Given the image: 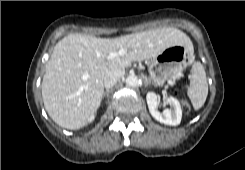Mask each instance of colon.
<instances>
[{"instance_id": "colon-1", "label": "colon", "mask_w": 245, "mask_h": 170, "mask_svg": "<svg viewBox=\"0 0 245 170\" xmlns=\"http://www.w3.org/2000/svg\"><path fill=\"white\" fill-rule=\"evenodd\" d=\"M185 90V83L184 81H179L178 83H176L175 87H174V92L177 95L182 96ZM183 112L185 114H188L190 112V104L187 101H184L183 103Z\"/></svg>"}]
</instances>
